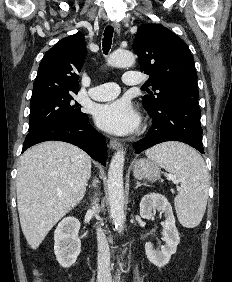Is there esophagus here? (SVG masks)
<instances>
[{"mask_svg": "<svg viewBox=\"0 0 232 282\" xmlns=\"http://www.w3.org/2000/svg\"><path fill=\"white\" fill-rule=\"evenodd\" d=\"M112 26L114 27L115 31L117 34L120 33L121 31V25L118 22H113ZM121 147V144L119 142V140L117 139H111L110 140V148L113 150L119 149Z\"/></svg>", "mask_w": 232, "mask_h": 282, "instance_id": "esophagus-1", "label": "esophagus"}]
</instances>
